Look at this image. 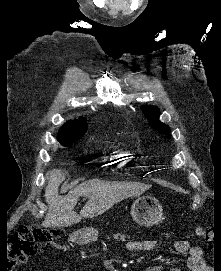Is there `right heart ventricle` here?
I'll use <instances>...</instances> for the list:
<instances>
[{"label":"right heart ventricle","instance_id":"obj_1","mask_svg":"<svg viewBox=\"0 0 221 271\" xmlns=\"http://www.w3.org/2000/svg\"><path fill=\"white\" fill-rule=\"evenodd\" d=\"M120 158H109V163H118L120 164L122 161H129V158H124L125 156L121 154Z\"/></svg>","mask_w":221,"mask_h":271}]
</instances>
